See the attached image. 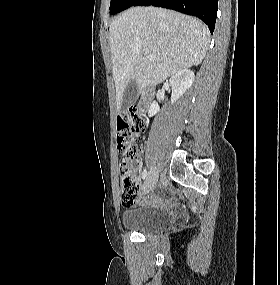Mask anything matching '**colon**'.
I'll use <instances>...</instances> for the list:
<instances>
[{"label": "colon", "instance_id": "colon-1", "mask_svg": "<svg viewBox=\"0 0 280 285\" xmlns=\"http://www.w3.org/2000/svg\"><path fill=\"white\" fill-rule=\"evenodd\" d=\"M146 123L143 114L131 107L118 116V150L123 158L120 165L121 203L124 206L134 205L137 198L138 183L128 170V162L140 156L141 141Z\"/></svg>", "mask_w": 280, "mask_h": 285}]
</instances>
